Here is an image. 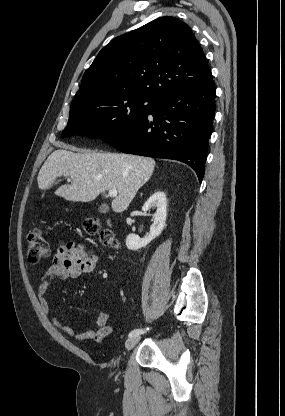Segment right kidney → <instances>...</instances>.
<instances>
[{
	"mask_svg": "<svg viewBox=\"0 0 285 416\" xmlns=\"http://www.w3.org/2000/svg\"><path fill=\"white\" fill-rule=\"evenodd\" d=\"M166 194L165 192H155L153 196H150L149 200L145 202L142 212H148L150 208H157L156 214L152 220L153 224L150 228V234L145 238H139L136 234H129L126 238V246L128 250H139V248H145L147 244H150L154 238H157L161 234L166 220Z\"/></svg>",
	"mask_w": 285,
	"mask_h": 416,
	"instance_id": "right-kidney-1",
	"label": "right kidney"
}]
</instances>
